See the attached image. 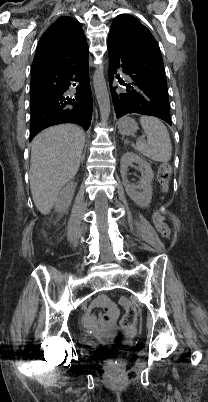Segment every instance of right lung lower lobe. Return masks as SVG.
I'll use <instances>...</instances> for the list:
<instances>
[{
  "label": "right lung lower lobe",
  "mask_w": 208,
  "mask_h": 402,
  "mask_svg": "<svg viewBox=\"0 0 208 402\" xmlns=\"http://www.w3.org/2000/svg\"><path fill=\"white\" fill-rule=\"evenodd\" d=\"M88 55L86 44L62 63L31 69L30 141L41 130L62 123L79 124L88 130L93 110ZM71 81L76 82L74 97L67 95Z\"/></svg>",
  "instance_id": "obj_1"
}]
</instances>
